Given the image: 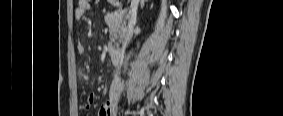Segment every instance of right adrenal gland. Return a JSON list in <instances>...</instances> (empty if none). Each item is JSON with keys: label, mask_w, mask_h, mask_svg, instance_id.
I'll return each instance as SVG.
<instances>
[{"label": "right adrenal gland", "mask_w": 283, "mask_h": 116, "mask_svg": "<svg viewBox=\"0 0 283 116\" xmlns=\"http://www.w3.org/2000/svg\"><path fill=\"white\" fill-rule=\"evenodd\" d=\"M144 4H145V0H141V3H140L141 9L144 7Z\"/></svg>", "instance_id": "right-adrenal-gland-1"}]
</instances>
